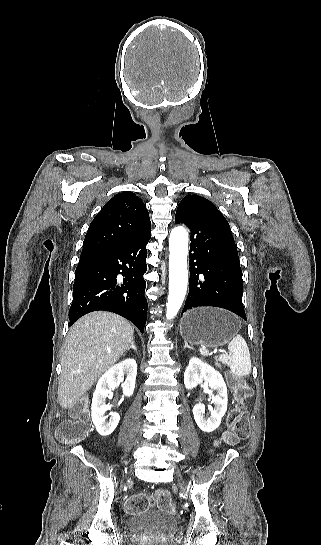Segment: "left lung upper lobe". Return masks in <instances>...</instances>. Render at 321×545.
Listing matches in <instances>:
<instances>
[{
  "instance_id": "1",
  "label": "left lung upper lobe",
  "mask_w": 321,
  "mask_h": 545,
  "mask_svg": "<svg viewBox=\"0 0 321 545\" xmlns=\"http://www.w3.org/2000/svg\"><path fill=\"white\" fill-rule=\"evenodd\" d=\"M202 206H215L213 203H211L209 200L205 199L204 197L198 196L196 194L187 195L182 199V201L179 203L177 211L183 210L186 208H196V207H202Z\"/></svg>"
}]
</instances>
